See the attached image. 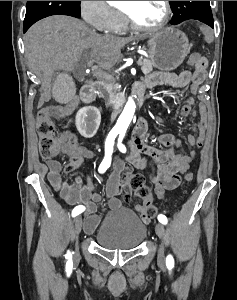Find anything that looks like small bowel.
Returning a JSON list of instances; mask_svg holds the SVG:
<instances>
[{"label":"small bowel","instance_id":"1","mask_svg":"<svg viewBox=\"0 0 237 300\" xmlns=\"http://www.w3.org/2000/svg\"><path fill=\"white\" fill-rule=\"evenodd\" d=\"M207 77V61L205 64H196L194 71H183L180 73L155 72L148 75L145 80L137 85V90L146 88H154L157 86L168 85L172 87L190 86V91L195 94L199 86ZM194 100L187 96L185 103L181 109V116H196L193 111ZM78 105V100L73 99L65 106L55 109L57 116L65 117L70 115ZM207 111L204 105H199L197 134H188L186 141L194 147L189 154L185 152H175V148L181 146V141L172 134H161L157 138L158 144L162 147H156L148 143V121L140 118L132 132L129 147L130 155L127 157V163L116 161L114 163L113 172L106 184V195L109 199L108 207L110 210H119L122 208V200L119 198L121 194L120 177L124 171H130L132 166L137 168H150L154 165L157 170L151 172V180L155 184V194L158 198H162L166 190L176 188L180 183V174L185 173L194 158L195 149H199L205 138L207 128ZM65 155L70 159L81 157L91 158L94 156L93 151L85 147L72 148L65 146L63 149ZM144 155L150 159V163L141 158ZM48 181L55 191L69 204L73 206H83L85 208L84 229L88 233H92L102 220L105 210L98 214V203L101 201V195L95 190L91 175L88 174L86 180L81 177H75L71 182L63 179L61 171V163L55 160L47 162ZM126 194L125 199H128ZM144 222L148 223L149 218L146 217L143 206L135 205Z\"/></svg>","mask_w":237,"mask_h":300}]
</instances>
